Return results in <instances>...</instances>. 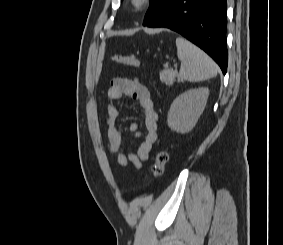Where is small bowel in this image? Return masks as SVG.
<instances>
[{
    "mask_svg": "<svg viewBox=\"0 0 283 245\" xmlns=\"http://www.w3.org/2000/svg\"><path fill=\"white\" fill-rule=\"evenodd\" d=\"M107 96L110 101L105 117L108 150L120 166L132 165L136 169H141L143 162L149 159L151 149L157 141L159 116L150 92L137 78L117 77L112 79ZM125 97L138 102L143 112L144 134L136 123L132 122L124 127L125 130L132 132L135 137L143 136L136 153H125L122 133L117 126L119 116L117 103Z\"/></svg>",
    "mask_w": 283,
    "mask_h": 245,
    "instance_id": "obj_1",
    "label": "small bowel"
}]
</instances>
